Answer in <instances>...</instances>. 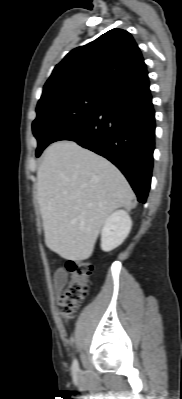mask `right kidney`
I'll list each match as a JSON object with an SVG mask.
<instances>
[{
  "instance_id": "ca27d5eb",
  "label": "right kidney",
  "mask_w": 182,
  "mask_h": 399,
  "mask_svg": "<svg viewBox=\"0 0 182 399\" xmlns=\"http://www.w3.org/2000/svg\"><path fill=\"white\" fill-rule=\"evenodd\" d=\"M132 226L129 214L124 210H117L110 214L101 232V249L105 252L117 248L128 236Z\"/></svg>"
}]
</instances>
